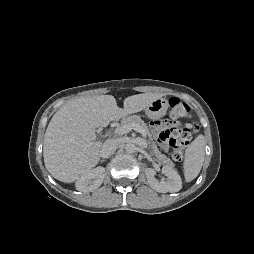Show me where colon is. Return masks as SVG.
I'll return each mask as SVG.
<instances>
[{"label":"colon","mask_w":254,"mask_h":254,"mask_svg":"<svg viewBox=\"0 0 254 254\" xmlns=\"http://www.w3.org/2000/svg\"><path fill=\"white\" fill-rule=\"evenodd\" d=\"M171 119L169 125L160 131L158 137L163 144H167L172 149V156L180 161L183 158L184 150L190 143L194 134L198 131L195 120L188 119L184 123L177 120L179 117H187L190 113L189 106L176 97H171L168 101Z\"/></svg>","instance_id":"5ec220e1"}]
</instances>
